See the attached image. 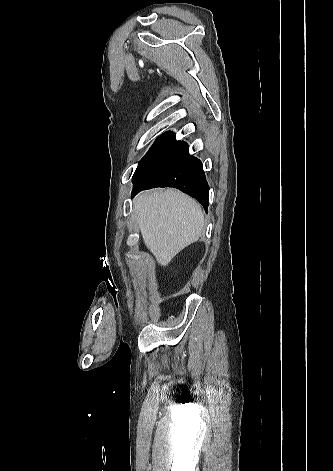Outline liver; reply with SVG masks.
I'll use <instances>...</instances> for the list:
<instances>
[{
	"instance_id": "1",
	"label": "liver",
	"mask_w": 333,
	"mask_h": 471,
	"mask_svg": "<svg viewBox=\"0 0 333 471\" xmlns=\"http://www.w3.org/2000/svg\"><path fill=\"white\" fill-rule=\"evenodd\" d=\"M134 215L145 245L161 266L204 232L201 206L174 189L138 194L134 199Z\"/></svg>"
}]
</instances>
